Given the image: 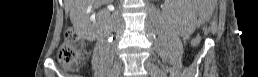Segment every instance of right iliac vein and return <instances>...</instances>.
Instances as JSON below:
<instances>
[{
    "instance_id": "63e3f726",
    "label": "right iliac vein",
    "mask_w": 258,
    "mask_h": 77,
    "mask_svg": "<svg viewBox=\"0 0 258 77\" xmlns=\"http://www.w3.org/2000/svg\"><path fill=\"white\" fill-rule=\"evenodd\" d=\"M121 71V67H120V63L116 62L111 70V75L110 77H118V75L120 74Z\"/></svg>"
}]
</instances>
